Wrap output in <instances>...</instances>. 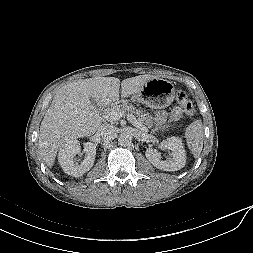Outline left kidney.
Here are the masks:
<instances>
[{
	"instance_id": "1",
	"label": "left kidney",
	"mask_w": 253,
	"mask_h": 253,
	"mask_svg": "<svg viewBox=\"0 0 253 253\" xmlns=\"http://www.w3.org/2000/svg\"><path fill=\"white\" fill-rule=\"evenodd\" d=\"M160 148L171 150L172 158L163 161L161 160L160 153L156 149H147L145 153L146 158L156 168L164 171H177L185 166L186 153L181 138H167L160 143Z\"/></svg>"
}]
</instances>
